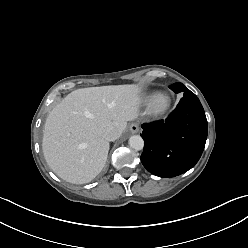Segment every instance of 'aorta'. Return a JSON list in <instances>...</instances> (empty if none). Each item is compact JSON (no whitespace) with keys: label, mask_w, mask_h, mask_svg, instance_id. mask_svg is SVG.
<instances>
[{"label":"aorta","mask_w":248,"mask_h":248,"mask_svg":"<svg viewBox=\"0 0 248 248\" xmlns=\"http://www.w3.org/2000/svg\"><path fill=\"white\" fill-rule=\"evenodd\" d=\"M129 146L132 148V149H135V150H142L143 147H144V141L142 139L141 136L139 135H133L129 138Z\"/></svg>","instance_id":"aorta-1"}]
</instances>
